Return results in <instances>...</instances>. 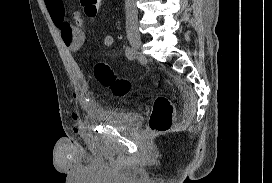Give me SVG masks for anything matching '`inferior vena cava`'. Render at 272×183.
<instances>
[{
    "label": "inferior vena cava",
    "mask_w": 272,
    "mask_h": 183,
    "mask_svg": "<svg viewBox=\"0 0 272 183\" xmlns=\"http://www.w3.org/2000/svg\"><path fill=\"white\" fill-rule=\"evenodd\" d=\"M126 9V30L129 32L137 28L138 13L136 9L135 0H125Z\"/></svg>",
    "instance_id": "inferior-vena-cava-1"
}]
</instances>
